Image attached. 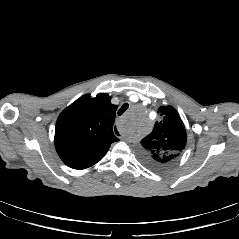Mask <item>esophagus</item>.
Listing matches in <instances>:
<instances>
[{
	"instance_id": "1",
	"label": "esophagus",
	"mask_w": 239,
	"mask_h": 239,
	"mask_svg": "<svg viewBox=\"0 0 239 239\" xmlns=\"http://www.w3.org/2000/svg\"><path fill=\"white\" fill-rule=\"evenodd\" d=\"M113 133H114V135L116 136V137H121V135H122V133H121V131L119 130L120 129V127H119V125H114V127H113Z\"/></svg>"
}]
</instances>
